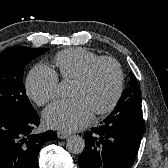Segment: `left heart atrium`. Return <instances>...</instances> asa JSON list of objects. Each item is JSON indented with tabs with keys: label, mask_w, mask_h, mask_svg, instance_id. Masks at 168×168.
Returning a JSON list of instances; mask_svg holds the SVG:
<instances>
[{
	"label": "left heart atrium",
	"mask_w": 168,
	"mask_h": 168,
	"mask_svg": "<svg viewBox=\"0 0 168 168\" xmlns=\"http://www.w3.org/2000/svg\"><path fill=\"white\" fill-rule=\"evenodd\" d=\"M93 110L82 97L60 100L50 105L44 112L45 124L53 129L76 131L87 126Z\"/></svg>",
	"instance_id": "39dd6f15"
}]
</instances>
